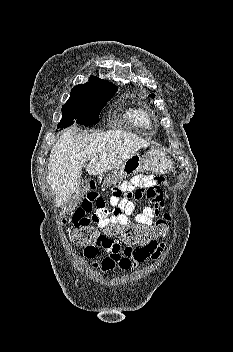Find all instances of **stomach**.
Masks as SVG:
<instances>
[{
  "label": "stomach",
  "mask_w": 233,
  "mask_h": 352,
  "mask_svg": "<svg viewBox=\"0 0 233 352\" xmlns=\"http://www.w3.org/2000/svg\"><path fill=\"white\" fill-rule=\"evenodd\" d=\"M172 168V160L166 152L151 147L145 155H133L115 168L107 178V184L113 185L137 173L147 171L163 174Z\"/></svg>",
  "instance_id": "1"
}]
</instances>
